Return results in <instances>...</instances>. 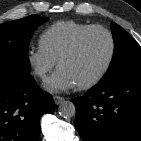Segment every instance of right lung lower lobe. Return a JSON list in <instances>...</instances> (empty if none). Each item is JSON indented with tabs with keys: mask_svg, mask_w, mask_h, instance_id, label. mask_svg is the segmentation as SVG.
<instances>
[{
	"mask_svg": "<svg viewBox=\"0 0 141 141\" xmlns=\"http://www.w3.org/2000/svg\"><path fill=\"white\" fill-rule=\"evenodd\" d=\"M54 108L30 73L0 76V141H38L40 118Z\"/></svg>",
	"mask_w": 141,
	"mask_h": 141,
	"instance_id": "right-lung-lower-lobe-1",
	"label": "right lung lower lobe"
}]
</instances>
